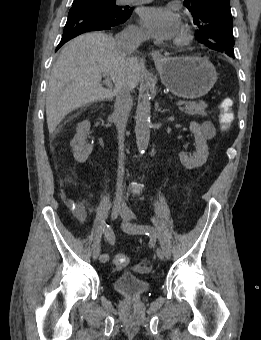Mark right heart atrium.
Here are the masks:
<instances>
[{"mask_svg":"<svg viewBox=\"0 0 261 340\" xmlns=\"http://www.w3.org/2000/svg\"><path fill=\"white\" fill-rule=\"evenodd\" d=\"M127 33L129 35L138 36V37L143 36L142 30L138 26H131V27H129Z\"/></svg>","mask_w":261,"mask_h":340,"instance_id":"obj_1","label":"right heart atrium"}]
</instances>
